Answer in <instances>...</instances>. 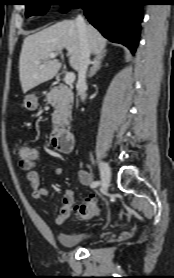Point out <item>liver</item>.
I'll use <instances>...</instances> for the list:
<instances>
[{
  "instance_id": "6515ba94",
  "label": "liver",
  "mask_w": 174,
  "mask_h": 278,
  "mask_svg": "<svg viewBox=\"0 0 174 278\" xmlns=\"http://www.w3.org/2000/svg\"><path fill=\"white\" fill-rule=\"evenodd\" d=\"M87 41L91 54H104L107 40L91 25H87ZM66 49L69 64L79 70L81 48L76 21L64 20L38 33L27 36L19 58V78L22 91L52 79L60 70L59 60L49 58V54Z\"/></svg>"
}]
</instances>
